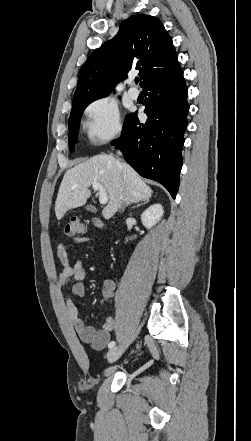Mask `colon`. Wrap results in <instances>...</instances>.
Segmentation results:
<instances>
[{
  "mask_svg": "<svg viewBox=\"0 0 251 441\" xmlns=\"http://www.w3.org/2000/svg\"><path fill=\"white\" fill-rule=\"evenodd\" d=\"M85 232L84 223L77 217L70 218L62 227V234L65 237L81 236Z\"/></svg>",
  "mask_w": 251,
  "mask_h": 441,
  "instance_id": "5ec220e1",
  "label": "colon"
}]
</instances>
